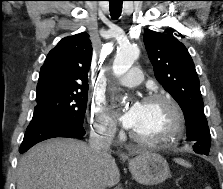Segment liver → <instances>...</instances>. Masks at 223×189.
Instances as JSON below:
<instances>
[{
  "instance_id": "obj_1",
  "label": "liver",
  "mask_w": 223,
  "mask_h": 189,
  "mask_svg": "<svg viewBox=\"0 0 223 189\" xmlns=\"http://www.w3.org/2000/svg\"><path fill=\"white\" fill-rule=\"evenodd\" d=\"M119 181L110 153L98 155L86 143L68 138L35 145L17 170V189H106Z\"/></svg>"
}]
</instances>
